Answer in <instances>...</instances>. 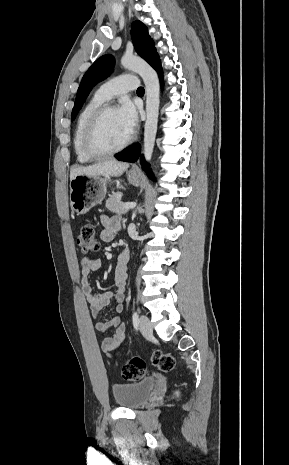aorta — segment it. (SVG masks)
I'll list each match as a JSON object with an SVG mask.
<instances>
[{"label":"aorta","mask_w":289,"mask_h":465,"mask_svg":"<svg viewBox=\"0 0 289 465\" xmlns=\"http://www.w3.org/2000/svg\"><path fill=\"white\" fill-rule=\"evenodd\" d=\"M121 64L124 68L138 73L145 84L147 118L144 128V157L147 162H150L157 133L160 103L159 78L156 71L137 56L124 55L121 58Z\"/></svg>","instance_id":"762f6f07"}]
</instances>
